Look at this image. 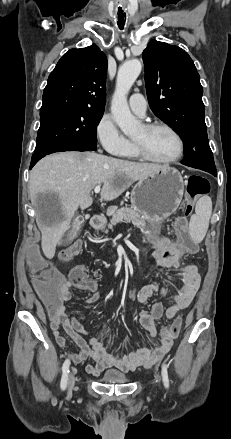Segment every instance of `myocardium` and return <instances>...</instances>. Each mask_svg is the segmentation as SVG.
I'll return each instance as SVG.
<instances>
[{
	"label": "myocardium",
	"mask_w": 231,
	"mask_h": 439,
	"mask_svg": "<svg viewBox=\"0 0 231 439\" xmlns=\"http://www.w3.org/2000/svg\"><path fill=\"white\" fill-rule=\"evenodd\" d=\"M143 128L146 131H152L155 129L167 130L176 139L178 149H177L176 154L173 157H171L169 159L161 160V159H156V158L152 157L151 155H149V153L145 150V148L140 143L133 140L132 144H133L134 150H135L136 154L138 155V157H140L143 160L148 161V162L161 164V165H169V164H173V163L177 162L183 156L184 149H185L184 141H183L181 135L178 133V131L176 129H174L172 126H170L169 124L164 123V122H153V123H148V124L143 125Z\"/></svg>",
	"instance_id": "f54148a6"
}]
</instances>
